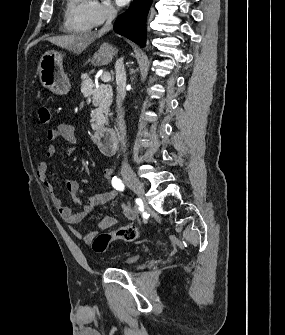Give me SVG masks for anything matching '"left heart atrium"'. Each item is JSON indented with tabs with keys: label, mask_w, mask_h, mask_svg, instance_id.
Instances as JSON below:
<instances>
[{
	"label": "left heart atrium",
	"mask_w": 285,
	"mask_h": 335,
	"mask_svg": "<svg viewBox=\"0 0 285 335\" xmlns=\"http://www.w3.org/2000/svg\"><path fill=\"white\" fill-rule=\"evenodd\" d=\"M118 5L120 6H125L127 5L130 1H116Z\"/></svg>",
	"instance_id": "left-heart-atrium-1"
}]
</instances>
